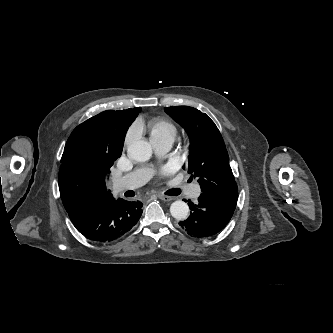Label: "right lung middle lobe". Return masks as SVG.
I'll use <instances>...</instances> for the list:
<instances>
[{"instance_id":"dd1d6c3e","label":"right lung middle lobe","mask_w":333,"mask_h":333,"mask_svg":"<svg viewBox=\"0 0 333 333\" xmlns=\"http://www.w3.org/2000/svg\"><path fill=\"white\" fill-rule=\"evenodd\" d=\"M86 121L84 136L92 145L93 162L109 171L121 156L125 134L133 119L120 110H107Z\"/></svg>"}]
</instances>
